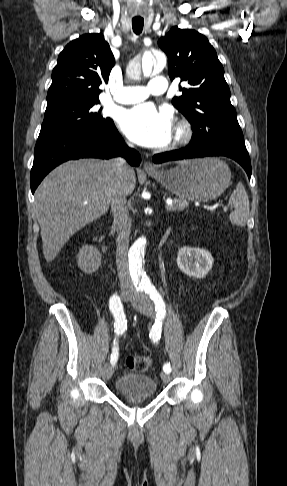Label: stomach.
Listing matches in <instances>:
<instances>
[{
  "label": "stomach",
  "mask_w": 287,
  "mask_h": 486,
  "mask_svg": "<svg viewBox=\"0 0 287 486\" xmlns=\"http://www.w3.org/2000/svg\"><path fill=\"white\" fill-rule=\"evenodd\" d=\"M149 175L179 198L196 202L216 199L231 180L228 165L213 157L184 160L174 168Z\"/></svg>",
  "instance_id": "1"
}]
</instances>
